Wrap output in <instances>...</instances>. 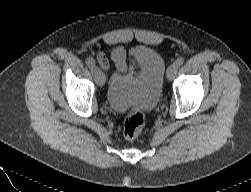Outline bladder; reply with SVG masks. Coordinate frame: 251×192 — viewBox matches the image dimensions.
Listing matches in <instances>:
<instances>
[{
  "label": "bladder",
  "instance_id": "31cf9c89",
  "mask_svg": "<svg viewBox=\"0 0 251 192\" xmlns=\"http://www.w3.org/2000/svg\"><path fill=\"white\" fill-rule=\"evenodd\" d=\"M133 55L139 64V74L113 73L108 82L106 99L110 107L118 112L131 107L154 109L161 97L166 69L164 58L147 47L134 49Z\"/></svg>",
  "mask_w": 251,
  "mask_h": 192
}]
</instances>
